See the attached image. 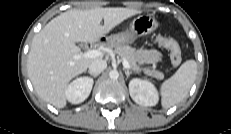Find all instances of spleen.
<instances>
[{
  "mask_svg": "<svg viewBox=\"0 0 231 134\" xmlns=\"http://www.w3.org/2000/svg\"><path fill=\"white\" fill-rule=\"evenodd\" d=\"M197 75L195 60H187L175 74L161 85L162 107L170 108L180 103L189 93Z\"/></svg>",
  "mask_w": 231,
  "mask_h": 134,
  "instance_id": "spleen-1",
  "label": "spleen"
}]
</instances>
